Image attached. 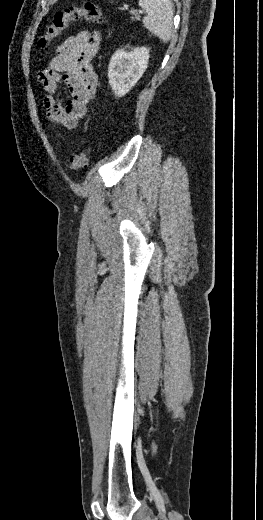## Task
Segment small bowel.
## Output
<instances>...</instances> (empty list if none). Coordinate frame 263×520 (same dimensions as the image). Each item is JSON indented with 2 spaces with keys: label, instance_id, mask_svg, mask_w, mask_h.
<instances>
[{
  "label": "small bowel",
  "instance_id": "small-bowel-1",
  "mask_svg": "<svg viewBox=\"0 0 263 520\" xmlns=\"http://www.w3.org/2000/svg\"><path fill=\"white\" fill-rule=\"evenodd\" d=\"M101 41L99 31H81L66 39L57 49L38 79L47 94L43 107L47 118L65 129L74 130L86 115L94 98L98 78L92 66ZM67 86L70 99L63 103L59 84Z\"/></svg>",
  "mask_w": 263,
  "mask_h": 520
}]
</instances>
